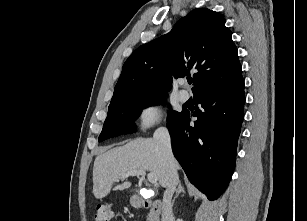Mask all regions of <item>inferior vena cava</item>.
<instances>
[{
    "label": "inferior vena cava",
    "instance_id": "1",
    "mask_svg": "<svg viewBox=\"0 0 307 221\" xmlns=\"http://www.w3.org/2000/svg\"><path fill=\"white\" fill-rule=\"evenodd\" d=\"M153 138L162 145L164 153L168 159L169 166L168 183L162 203V221H174L171 199L179 183V177L177 174L178 164L172 153L171 140L168 130L164 127L158 128L155 131Z\"/></svg>",
    "mask_w": 307,
    "mask_h": 221
}]
</instances>
